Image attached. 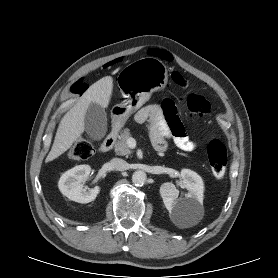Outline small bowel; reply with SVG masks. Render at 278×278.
Masks as SVG:
<instances>
[{
  "mask_svg": "<svg viewBox=\"0 0 278 278\" xmlns=\"http://www.w3.org/2000/svg\"><path fill=\"white\" fill-rule=\"evenodd\" d=\"M134 120L137 123L150 124L151 140L158 151L166 149V139L170 137L184 151L196 148V143L185 132L174 103L169 99H165L162 105L151 104L142 108L135 114Z\"/></svg>",
  "mask_w": 278,
  "mask_h": 278,
  "instance_id": "c3829d8e",
  "label": "small bowel"
}]
</instances>
